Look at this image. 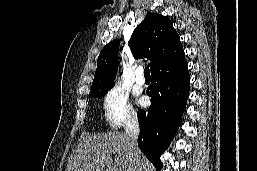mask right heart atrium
I'll use <instances>...</instances> for the list:
<instances>
[{
	"mask_svg": "<svg viewBox=\"0 0 257 171\" xmlns=\"http://www.w3.org/2000/svg\"><path fill=\"white\" fill-rule=\"evenodd\" d=\"M103 117L110 128H119L137 120L128 95L119 88L109 90L102 100Z\"/></svg>",
	"mask_w": 257,
	"mask_h": 171,
	"instance_id": "right-heart-atrium-1",
	"label": "right heart atrium"
}]
</instances>
